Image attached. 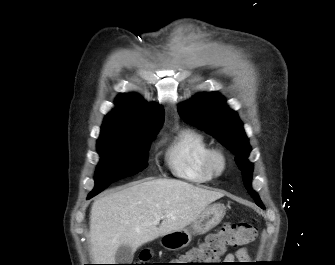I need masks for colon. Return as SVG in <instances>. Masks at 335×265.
I'll use <instances>...</instances> for the list:
<instances>
[{"mask_svg":"<svg viewBox=\"0 0 335 265\" xmlns=\"http://www.w3.org/2000/svg\"><path fill=\"white\" fill-rule=\"evenodd\" d=\"M257 228L253 222L226 224L218 232L209 234L203 243L189 250L182 256L184 265H215L228 248L247 245L254 241ZM152 252L143 250L139 255V262L148 263Z\"/></svg>","mask_w":335,"mask_h":265,"instance_id":"5ec220e1","label":"colon"}]
</instances>
